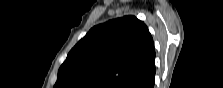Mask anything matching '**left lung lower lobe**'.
Instances as JSON below:
<instances>
[{"instance_id": "1", "label": "left lung lower lobe", "mask_w": 223, "mask_h": 88, "mask_svg": "<svg viewBox=\"0 0 223 88\" xmlns=\"http://www.w3.org/2000/svg\"><path fill=\"white\" fill-rule=\"evenodd\" d=\"M155 68L145 77L135 83L131 88H154Z\"/></svg>"}]
</instances>
